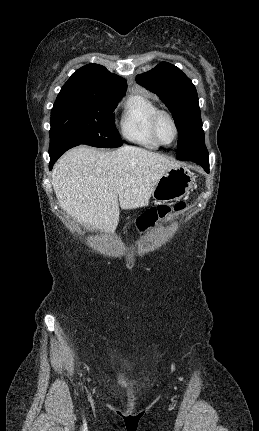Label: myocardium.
Instances as JSON below:
<instances>
[{
  "mask_svg": "<svg viewBox=\"0 0 259 431\" xmlns=\"http://www.w3.org/2000/svg\"><path fill=\"white\" fill-rule=\"evenodd\" d=\"M163 116L167 117L170 120V122L173 126V130H174L173 139L169 143L163 142L160 139L159 134H158V123H159L160 118ZM151 131H152V135H153L154 139L158 142L159 145H162V146H168V145L172 144L173 142H175V140L178 137V132H179L178 131V125L176 123L174 116L168 110H165V109H157L155 111V113L153 114V116L151 118Z\"/></svg>",
  "mask_w": 259,
  "mask_h": 431,
  "instance_id": "f54148a6",
  "label": "myocardium"
}]
</instances>
